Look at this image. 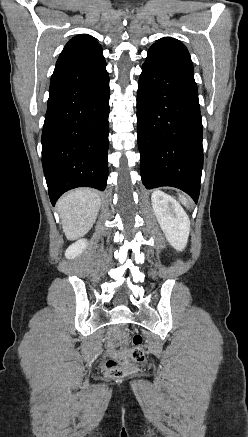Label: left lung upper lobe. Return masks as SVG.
<instances>
[{
    "instance_id": "1",
    "label": "left lung upper lobe",
    "mask_w": 248,
    "mask_h": 437,
    "mask_svg": "<svg viewBox=\"0 0 248 437\" xmlns=\"http://www.w3.org/2000/svg\"><path fill=\"white\" fill-rule=\"evenodd\" d=\"M145 63L194 75L187 48L179 40L170 37L161 38L150 47Z\"/></svg>"
}]
</instances>
